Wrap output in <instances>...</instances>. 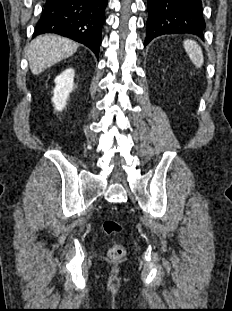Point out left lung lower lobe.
Wrapping results in <instances>:
<instances>
[{
  "mask_svg": "<svg viewBox=\"0 0 232 311\" xmlns=\"http://www.w3.org/2000/svg\"><path fill=\"white\" fill-rule=\"evenodd\" d=\"M145 45L157 36L191 33L203 38L201 0H148Z\"/></svg>",
  "mask_w": 232,
  "mask_h": 311,
  "instance_id": "left-lung-lower-lobe-1",
  "label": "left lung lower lobe"
}]
</instances>
